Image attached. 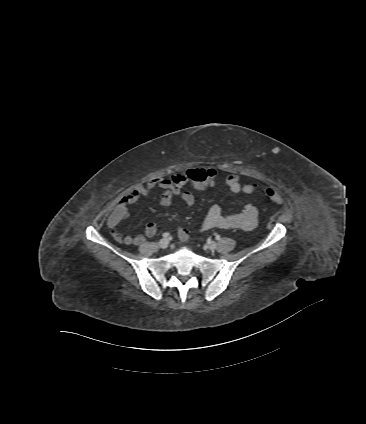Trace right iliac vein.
Masks as SVG:
<instances>
[{
  "label": "right iliac vein",
  "mask_w": 366,
  "mask_h": 424,
  "mask_svg": "<svg viewBox=\"0 0 366 424\" xmlns=\"http://www.w3.org/2000/svg\"><path fill=\"white\" fill-rule=\"evenodd\" d=\"M168 244H169V241H168V239H166V238H163V239H161L160 241H159V246L161 247V248H167L168 247Z\"/></svg>",
  "instance_id": "obj_1"
}]
</instances>
